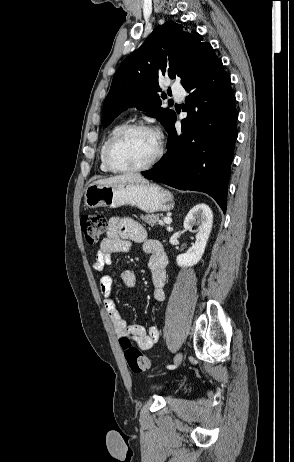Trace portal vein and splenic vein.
Returning <instances> with one entry per match:
<instances>
[{
    "label": "portal vein and splenic vein",
    "mask_w": 294,
    "mask_h": 462,
    "mask_svg": "<svg viewBox=\"0 0 294 462\" xmlns=\"http://www.w3.org/2000/svg\"><path fill=\"white\" fill-rule=\"evenodd\" d=\"M159 223L160 224L165 223V224L170 225L172 223V219L170 217H166V218L163 219V221H159Z\"/></svg>",
    "instance_id": "obj_1"
}]
</instances>
